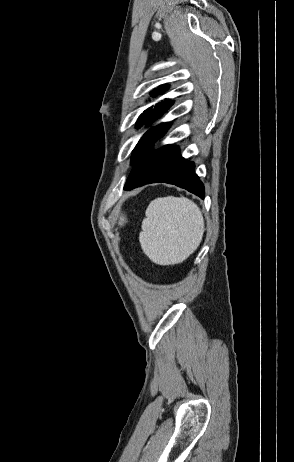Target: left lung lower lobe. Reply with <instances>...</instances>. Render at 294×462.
I'll use <instances>...</instances> for the list:
<instances>
[{"mask_svg": "<svg viewBox=\"0 0 294 462\" xmlns=\"http://www.w3.org/2000/svg\"><path fill=\"white\" fill-rule=\"evenodd\" d=\"M167 109V106L155 107L147 116L145 125L152 123ZM168 128L169 124L155 126L138 142L132 155L134 167L124 189L131 190L149 183L165 182L184 188L204 199V186L195 174L194 164L183 159L177 147L165 145L158 150H152L154 142L162 137Z\"/></svg>", "mask_w": 294, "mask_h": 462, "instance_id": "1", "label": "left lung lower lobe"}]
</instances>
